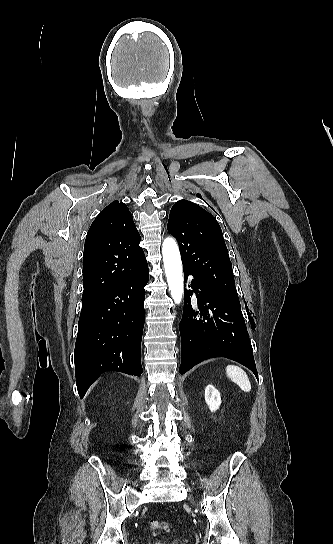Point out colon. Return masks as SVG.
<instances>
[{
	"mask_svg": "<svg viewBox=\"0 0 333 544\" xmlns=\"http://www.w3.org/2000/svg\"><path fill=\"white\" fill-rule=\"evenodd\" d=\"M170 529V523L165 521H151L148 526V531L153 535L160 534L161 532H168Z\"/></svg>",
	"mask_w": 333,
	"mask_h": 544,
	"instance_id": "colon-1",
	"label": "colon"
}]
</instances>
